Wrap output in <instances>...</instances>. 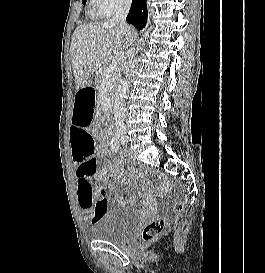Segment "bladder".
I'll return each mask as SVG.
<instances>
[{
	"mask_svg": "<svg viewBox=\"0 0 265 273\" xmlns=\"http://www.w3.org/2000/svg\"><path fill=\"white\" fill-rule=\"evenodd\" d=\"M139 225V216L128 210L106 211L91 225L89 235L99 241L121 244L132 238Z\"/></svg>",
	"mask_w": 265,
	"mask_h": 273,
	"instance_id": "1",
	"label": "bladder"
}]
</instances>
